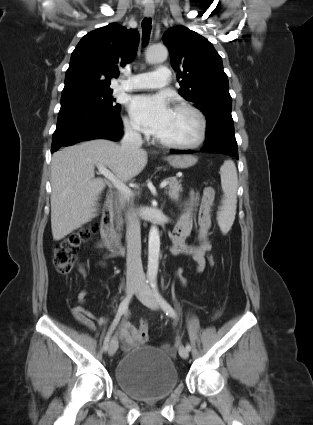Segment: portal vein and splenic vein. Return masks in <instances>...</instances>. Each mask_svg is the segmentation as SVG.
<instances>
[{
	"label": "portal vein and splenic vein",
	"instance_id": "obj_1",
	"mask_svg": "<svg viewBox=\"0 0 313 425\" xmlns=\"http://www.w3.org/2000/svg\"><path fill=\"white\" fill-rule=\"evenodd\" d=\"M98 171L108 179L117 189L118 191L129 198L133 196V193L129 187H127L122 181H120L109 169H107L104 165H97ZM168 185L167 181H163L160 184V188H165Z\"/></svg>",
	"mask_w": 313,
	"mask_h": 425
}]
</instances>
